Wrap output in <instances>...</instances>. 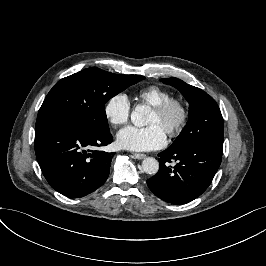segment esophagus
Instances as JSON below:
<instances>
[{
  "mask_svg": "<svg viewBox=\"0 0 266 266\" xmlns=\"http://www.w3.org/2000/svg\"><path fill=\"white\" fill-rule=\"evenodd\" d=\"M133 156L139 160L146 158V155L142 153H134Z\"/></svg>",
  "mask_w": 266,
  "mask_h": 266,
  "instance_id": "esophagus-1",
  "label": "esophagus"
}]
</instances>
